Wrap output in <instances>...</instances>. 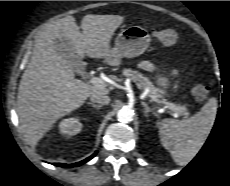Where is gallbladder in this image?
I'll return each mask as SVG.
<instances>
[{
  "mask_svg": "<svg viewBox=\"0 0 230 186\" xmlns=\"http://www.w3.org/2000/svg\"><path fill=\"white\" fill-rule=\"evenodd\" d=\"M57 49L60 54L71 62L73 70L76 71L82 68V60L75 57V53L69 41H67L65 38L57 40Z\"/></svg>",
  "mask_w": 230,
  "mask_h": 186,
  "instance_id": "obj_1",
  "label": "gallbladder"
}]
</instances>
